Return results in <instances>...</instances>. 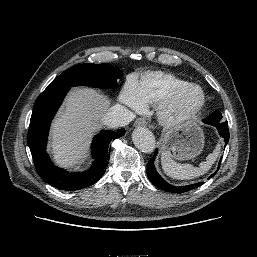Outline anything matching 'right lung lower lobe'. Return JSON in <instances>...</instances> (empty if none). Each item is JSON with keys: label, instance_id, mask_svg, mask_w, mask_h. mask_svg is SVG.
<instances>
[{"label": "right lung lower lobe", "instance_id": "right-lung-lower-lobe-1", "mask_svg": "<svg viewBox=\"0 0 257 257\" xmlns=\"http://www.w3.org/2000/svg\"><path fill=\"white\" fill-rule=\"evenodd\" d=\"M70 88L44 91L37 98L30 120L27 142L33 156L36 171L50 185L67 191L79 190L96 183L104 175L110 156L109 143L125 134V130L101 131L94 137L92 167L81 173H69L53 165L46 153L50 122Z\"/></svg>", "mask_w": 257, "mask_h": 257}]
</instances>
